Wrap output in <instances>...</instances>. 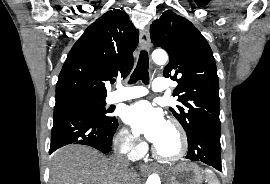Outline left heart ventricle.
I'll return each instance as SVG.
<instances>
[{
  "label": "left heart ventricle",
  "mask_w": 270,
  "mask_h": 184,
  "mask_svg": "<svg viewBox=\"0 0 270 184\" xmlns=\"http://www.w3.org/2000/svg\"><path fill=\"white\" fill-rule=\"evenodd\" d=\"M155 146L165 155H173L177 152L179 148L178 136L170 125H168L163 138Z\"/></svg>",
  "instance_id": "b2bd125f"
}]
</instances>
